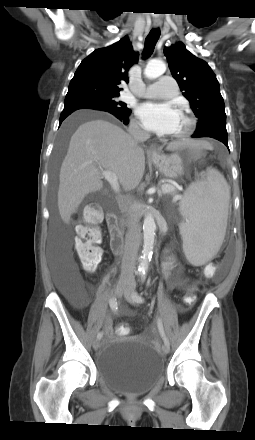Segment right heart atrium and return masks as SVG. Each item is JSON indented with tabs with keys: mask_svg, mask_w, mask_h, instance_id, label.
Instances as JSON below:
<instances>
[{
	"mask_svg": "<svg viewBox=\"0 0 255 440\" xmlns=\"http://www.w3.org/2000/svg\"><path fill=\"white\" fill-rule=\"evenodd\" d=\"M132 129L134 130V131H136V132H138V131H140L141 130V126H140V124L137 122V121H134L133 123H132Z\"/></svg>",
	"mask_w": 255,
	"mask_h": 440,
	"instance_id": "1",
	"label": "right heart atrium"
}]
</instances>
